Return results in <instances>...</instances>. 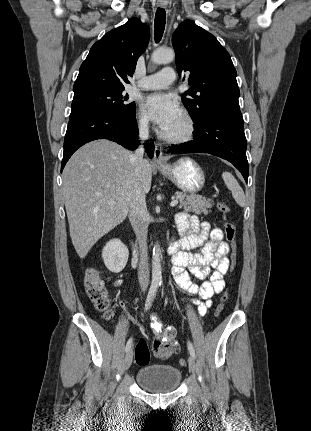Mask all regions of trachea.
Here are the masks:
<instances>
[{
    "label": "trachea",
    "mask_w": 311,
    "mask_h": 431,
    "mask_svg": "<svg viewBox=\"0 0 311 431\" xmlns=\"http://www.w3.org/2000/svg\"><path fill=\"white\" fill-rule=\"evenodd\" d=\"M166 23V12L164 8H158L155 14L154 20V38L156 42H159L163 36Z\"/></svg>",
    "instance_id": "1"
}]
</instances>
